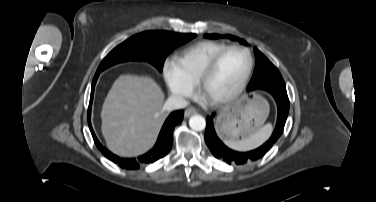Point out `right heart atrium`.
<instances>
[{
  "mask_svg": "<svg viewBox=\"0 0 376 202\" xmlns=\"http://www.w3.org/2000/svg\"><path fill=\"white\" fill-rule=\"evenodd\" d=\"M163 77L167 90L174 97L184 100L193 95L194 86L183 77L174 59L164 61Z\"/></svg>",
  "mask_w": 376,
  "mask_h": 202,
  "instance_id": "d8ad5b80",
  "label": "right heart atrium"
}]
</instances>
